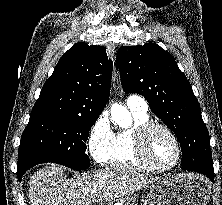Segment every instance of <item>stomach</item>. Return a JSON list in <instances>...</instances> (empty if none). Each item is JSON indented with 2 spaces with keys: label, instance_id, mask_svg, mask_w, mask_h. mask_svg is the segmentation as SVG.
Listing matches in <instances>:
<instances>
[{
  "label": "stomach",
  "instance_id": "obj_1",
  "mask_svg": "<svg viewBox=\"0 0 222 205\" xmlns=\"http://www.w3.org/2000/svg\"><path fill=\"white\" fill-rule=\"evenodd\" d=\"M210 196L208 183L193 175L163 178L150 187L144 205H206ZM125 205H136L135 196H128Z\"/></svg>",
  "mask_w": 222,
  "mask_h": 205
}]
</instances>
